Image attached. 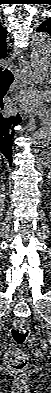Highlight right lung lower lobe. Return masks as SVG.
I'll return each instance as SVG.
<instances>
[{"mask_svg": "<svg viewBox=\"0 0 51 393\" xmlns=\"http://www.w3.org/2000/svg\"><path fill=\"white\" fill-rule=\"evenodd\" d=\"M3 96L0 94V155L3 154L12 163V143L14 137V127L21 122V117L7 116L3 113Z\"/></svg>", "mask_w": 51, "mask_h": 393, "instance_id": "98d812e1", "label": "right lung lower lobe"}]
</instances>
